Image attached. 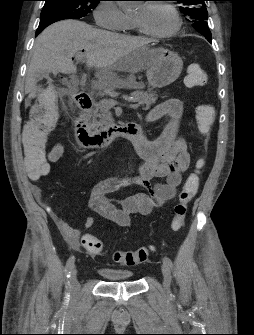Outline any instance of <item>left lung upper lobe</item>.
<instances>
[{"instance_id": "obj_1", "label": "left lung upper lobe", "mask_w": 254, "mask_h": 335, "mask_svg": "<svg viewBox=\"0 0 254 335\" xmlns=\"http://www.w3.org/2000/svg\"><path fill=\"white\" fill-rule=\"evenodd\" d=\"M181 3L180 11L187 17L188 20L193 22L194 28L200 32L205 38L211 40V32L206 22L208 13L206 9V0H175Z\"/></svg>"}]
</instances>
